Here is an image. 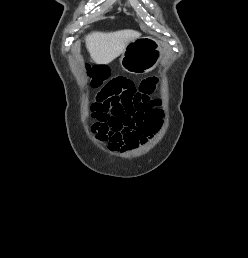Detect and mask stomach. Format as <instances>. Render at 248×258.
<instances>
[{"label": "stomach", "mask_w": 248, "mask_h": 258, "mask_svg": "<svg viewBox=\"0 0 248 258\" xmlns=\"http://www.w3.org/2000/svg\"><path fill=\"white\" fill-rule=\"evenodd\" d=\"M160 42L152 37H139L131 41L120 57L122 69L131 74L152 71L163 57Z\"/></svg>", "instance_id": "stomach-1"}]
</instances>
